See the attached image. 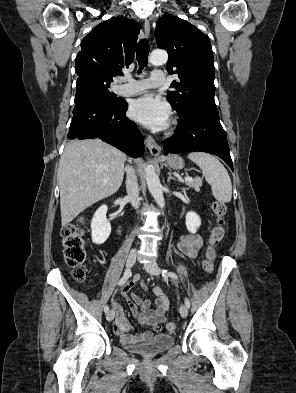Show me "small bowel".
<instances>
[{"label":"small bowel","instance_id":"1","mask_svg":"<svg viewBox=\"0 0 296 393\" xmlns=\"http://www.w3.org/2000/svg\"><path fill=\"white\" fill-rule=\"evenodd\" d=\"M203 245V238L199 234H186L181 236L178 241L177 248L187 258H195ZM211 257L214 258V251H211ZM139 282L143 289H147V283L141 278L139 274L134 276V280L122 289V295L127 299L131 313L141 325H151L154 333L162 331L165 315L169 309L170 297L169 294L156 286L153 292L156 296L155 306L148 299H143L134 293L132 289L135 284ZM113 308L115 311L114 331L119 336L124 344H135L138 342L148 341L153 337V332L146 331L139 334L130 332V322L126 318L122 307L118 302L113 301Z\"/></svg>","mask_w":296,"mask_h":393}]
</instances>
